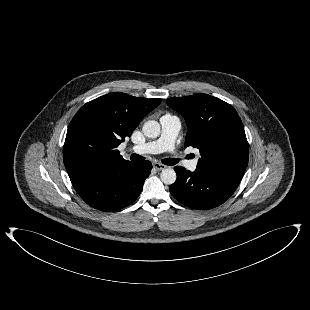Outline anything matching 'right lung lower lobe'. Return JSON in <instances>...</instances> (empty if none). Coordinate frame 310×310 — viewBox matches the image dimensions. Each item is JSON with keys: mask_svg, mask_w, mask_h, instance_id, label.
<instances>
[{"mask_svg": "<svg viewBox=\"0 0 310 310\" xmlns=\"http://www.w3.org/2000/svg\"><path fill=\"white\" fill-rule=\"evenodd\" d=\"M152 164L130 162L109 167L71 181L80 197L91 207L111 212L133 203L140 195Z\"/></svg>", "mask_w": 310, "mask_h": 310, "instance_id": "obj_1", "label": "right lung lower lobe"}]
</instances>
